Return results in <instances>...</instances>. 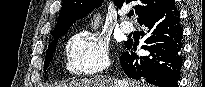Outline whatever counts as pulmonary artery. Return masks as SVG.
<instances>
[{"label":"pulmonary artery","instance_id":"1","mask_svg":"<svg viewBox=\"0 0 205 87\" xmlns=\"http://www.w3.org/2000/svg\"><path fill=\"white\" fill-rule=\"evenodd\" d=\"M124 15V14H123ZM120 28L125 33H130L133 31L134 27L133 24L128 21H123L120 23Z\"/></svg>","mask_w":205,"mask_h":87}]
</instances>
